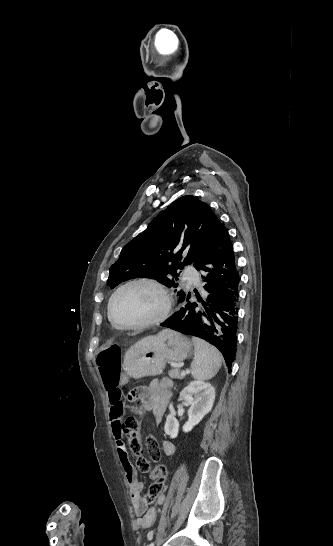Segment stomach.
I'll list each match as a JSON object with an SVG mask.
<instances>
[{
  "instance_id": "stomach-1",
  "label": "stomach",
  "mask_w": 333,
  "mask_h": 546,
  "mask_svg": "<svg viewBox=\"0 0 333 546\" xmlns=\"http://www.w3.org/2000/svg\"><path fill=\"white\" fill-rule=\"evenodd\" d=\"M192 343L184 335L164 329L132 345L124 356L122 367L135 379L162 373L167 362H180L191 353Z\"/></svg>"
}]
</instances>
